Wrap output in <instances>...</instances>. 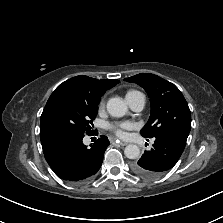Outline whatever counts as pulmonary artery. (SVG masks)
<instances>
[{"label": "pulmonary artery", "instance_id": "pulmonary-artery-1", "mask_svg": "<svg viewBox=\"0 0 223 223\" xmlns=\"http://www.w3.org/2000/svg\"><path fill=\"white\" fill-rule=\"evenodd\" d=\"M145 96L142 93H136L128 99L131 109L135 112L141 111L145 106Z\"/></svg>", "mask_w": 223, "mask_h": 223}]
</instances>
